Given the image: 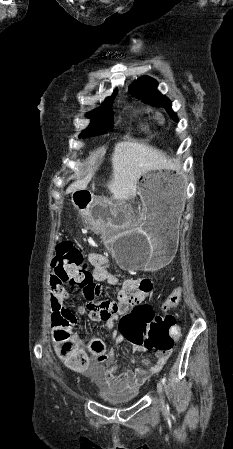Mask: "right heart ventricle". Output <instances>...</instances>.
<instances>
[{"instance_id": "obj_1", "label": "right heart ventricle", "mask_w": 233, "mask_h": 449, "mask_svg": "<svg viewBox=\"0 0 233 449\" xmlns=\"http://www.w3.org/2000/svg\"><path fill=\"white\" fill-rule=\"evenodd\" d=\"M134 113L137 114L136 111L133 110ZM139 118L141 121V129L144 131H148L149 130V126H150V118L147 114H139Z\"/></svg>"}]
</instances>
